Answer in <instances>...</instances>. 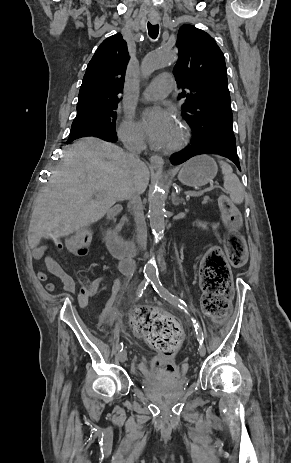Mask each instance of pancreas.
Returning a JSON list of instances; mask_svg holds the SVG:
<instances>
[{"mask_svg": "<svg viewBox=\"0 0 291 463\" xmlns=\"http://www.w3.org/2000/svg\"><path fill=\"white\" fill-rule=\"evenodd\" d=\"M122 220H123V221H126V220H127V217H126V216H123V217H122Z\"/></svg>", "mask_w": 291, "mask_h": 463, "instance_id": "1", "label": "pancreas"}]
</instances>
